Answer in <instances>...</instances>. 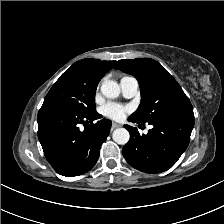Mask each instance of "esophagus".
<instances>
[{"label": "esophagus", "instance_id": "esophagus-1", "mask_svg": "<svg viewBox=\"0 0 224 224\" xmlns=\"http://www.w3.org/2000/svg\"><path fill=\"white\" fill-rule=\"evenodd\" d=\"M118 127H120L119 124H117V123H115V122L112 123V129H115V128H118Z\"/></svg>", "mask_w": 224, "mask_h": 224}]
</instances>
